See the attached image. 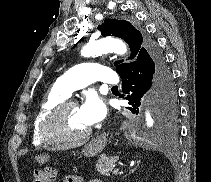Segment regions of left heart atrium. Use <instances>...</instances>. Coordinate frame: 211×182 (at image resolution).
Masks as SVG:
<instances>
[{"label": "left heart atrium", "mask_w": 211, "mask_h": 182, "mask_svg": "<svg viewBox=\"0 0 211 182\" xmlns=\"http://www.w3.org/2000/svg\"><path fill=\"white\" fill-rule=\"evenodd\" d=\"M79 113L83 121L88 126H92L104 118L106 106L99 96L89 94L79 107Z\"/></svg>", "instance_id": "left-heart-atrium-1"}]
</instances>
